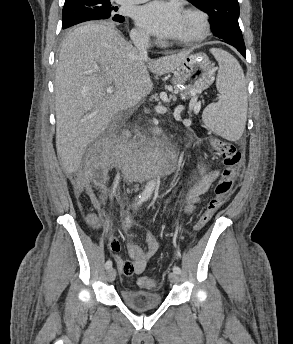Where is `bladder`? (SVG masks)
<instances>
[{
	"label": "bladder",
	"instance_id": "obj_1",
	"mask_svg": "<svg viewBox=\"0 0 293 344\" xmlns=\"http://www.w3.org/2000/svg\"><path fill=\"white\" fill-rule=\"evenodd\" d=\"M120 294L123 302L135 310L156 308L163 302V296L157 292L122 288Z\"/></svg>",
	"mask_w": 293,
	"mask_h": 344
}]
</instances>
